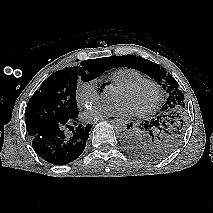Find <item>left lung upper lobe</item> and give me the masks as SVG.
I'll use <instances>...</instances> for the list:
<instances>
[{"mask_svg": "<svg viewBox=\"0 0 213 213\" xmlns=\"http://www.w3.org/2000/svg\"><path fill=\"white\" fill-rule=\"evenodd\" d=\"M110 62L114 67L141 71L162 85L167 99L148 129L140 135V149L135 154L151 160L167 157L179 146L187 122L184 94L179 90V84L164 68L136 55L111 56Z\"/></svg>", "mask_w": 213, "mask_h": 213, "instance_id": "5c2ea615", "label": "left lung upper lobe"}]
</instances>
